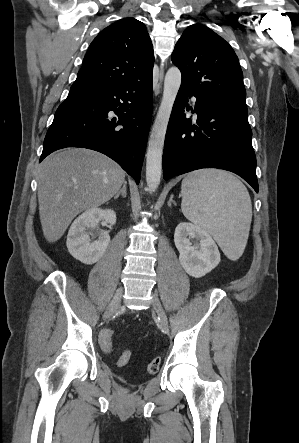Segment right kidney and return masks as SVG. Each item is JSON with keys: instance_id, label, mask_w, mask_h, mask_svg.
I'll use <instances>...</instances> for the list:
<instances>
[{"instance_id": "right-kidney-1", "label": "right kidney", "mask_w": 299, "mask_h": 443, "mask_svg": "<svg viewBox=\"0 0 299 443\" xmlns=\"http://www.w3.org/2000/svg\"><path fill=\"white\" fill-rule=\"evenodd\" d=\"M101 220L113 226L116 223V213L111 209L90 208L78 216L72 223L66 245L69 253L80 262L90 265L96 263L105 253L110 236L100 234L98 240L91 242V231Z\"/></svg>"}]
</instances>
